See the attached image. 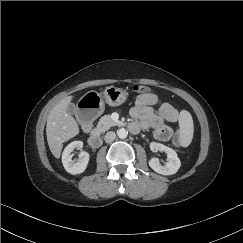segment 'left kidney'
<instances>
[{
    "instance_id": "5707ae66",
    "label": "left kidney",
    "mask_w": 243,
    "mask_h": 243,
    "mask_svg": "<svg viewBox=\"0 0 243 243\" xmlns=\"http://www.w3.org/2000/svg\"><path fill=\"white\" fill-rule=\"evenodd\" d=\"M150 149L153 152L164 151L167 154L168 161L166 162L165 165H162L159 162L158 158H151L149 160V166L155 172L162 174V175H172L178 171V169L181 166V162L177 156V153L173 149H171L161 143H157V142H151Z\"/></svg>"
}]
</instances>
